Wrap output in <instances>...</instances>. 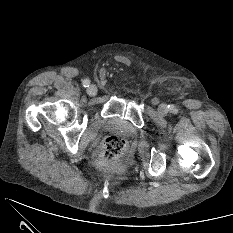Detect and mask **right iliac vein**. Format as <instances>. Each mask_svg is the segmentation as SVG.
<instances>
[{
    "mask_svg": "<svg viewBox=\"0 0 233 233\" xmlns=\"http://www.w3.org/2000/svg\"><path fill=\"white\" fill-rule=\"evenodd\" d=\"M87 94L90 96H95L97 94V87L95 85H90L87 88Z\"/></svg>",
    "mask_w": 233,
    "mask_h": 233,
    "instance_id": "obj_1",
    "label": "right iliac vein"
}]
</instances>
